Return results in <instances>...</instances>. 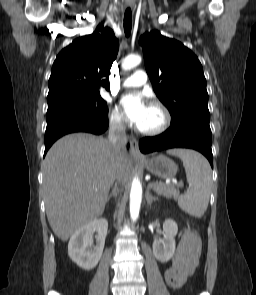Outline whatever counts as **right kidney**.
<instances>
[{
	"label": "right kidney",
	"instance_id": "ca27d5eb",
	"mask_svg": "<svg viewBox=\"0 0 256 295\" xmlns=\"http://www.w3.org/2000/svg\"><path fill=\"white\" fill-rule=\"evenodd\" d=\"M108 222L105 218L94 219L79 228L70 238L68 255L80 268L93 269L99 262L105 244ZM97 231L96 245H93V233Z\"/></svg>",
	"mask_w": 256,
	"mask_h": 295
}]
</instances>
